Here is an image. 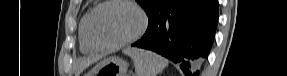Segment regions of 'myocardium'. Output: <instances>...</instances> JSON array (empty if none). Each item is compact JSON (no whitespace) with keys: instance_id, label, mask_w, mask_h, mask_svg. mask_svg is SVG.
<instances>
[{"instance_id":"obj_1","label":"myocardium","mask_w":287,"mask_h":76,"mask_svg":"<svg viewBox=\"0 0 287 76\" xmlns=\"http://www.w3.org/2000/svg\"><path fill=\"white\" fill-rule=\"evenodd\" d=\"M114 3H123L131 6L140 16L141 22L138 30L131 35L128 38H125L123 40H120L118 42L113 43H107L101 41L94 32V20L97 15V13L104 8L105 6H108L110 4ZM148 16L146 12L134 1L132 0H107L99 3L97 6H95L92 11L90 12L87 20V32L89 35V38L91 41L100 49H117L121 48L123 46H126L128 44H131L135 41H137L140 37L143 36V34L146 32L148 27Z\"/></svg>"}]
</instances>
